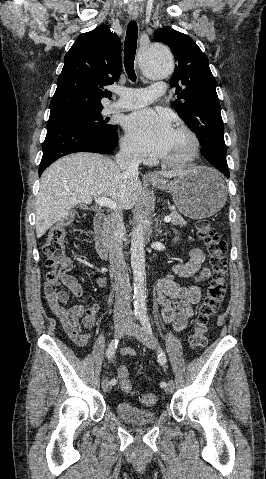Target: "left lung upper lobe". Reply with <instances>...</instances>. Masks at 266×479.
<instances>
[{"mask_svg": "<svg viewBox=\"0 0 266 479\" xmlns=\"http://www.w3.org/2000/svg\"><path fill=\"white\" fill-rule=\"evenodd\" d=\"M154 40L167 44L178 62L170 80L177 95L174 109L196 133L202 155L217 169L228 168L216 80L207 56L192 38L170 27L158 29Z\"/></svg>", "mask_w": 266, "mask_h": 479, "instance_id": "5c2ea615", "label": "left lung upper lobe"}]
</instances>
